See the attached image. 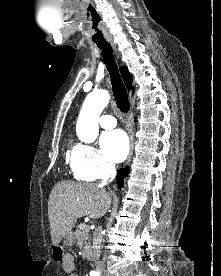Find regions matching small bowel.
<instances>
[{"instance_id": "c3829d8e", "label": "small bowel", "mask_w": 221, "mask_h": 276, "mask_svg": "<svg viewBox=\"0 0 221 276\" xmlns=\"http://www.w3.org/2000/svg\"><path fill=\"white\" fill-rule=\"evenodd\" d=\"M62 268L63 270L69 275V276H79L75 272V261L72 255H67L62 262Z\"/></svg>"}]
</instances>
